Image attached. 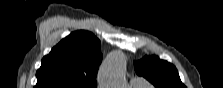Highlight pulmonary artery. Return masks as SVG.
I'll list each match as a JSON object with an SVG mask.
<instances>
[{
    "mask_svg": "<svg viewBox=\"0 0 223 88\" xmlns=\"http://www.w3.org/2000/svg\"><path fill=\"white\" fill-rule=\"evenodd\" d=\"M130 84L133 88H139V87H145L147 86V83L144 79L140 78V77H133L130 80Z\"/></svg>",
    "mask_w": 223,
    "mask_h": 88,
    "instance_id": "e3ab8cb5",
    "label": "pulmonary artery"
}]
</instances>
